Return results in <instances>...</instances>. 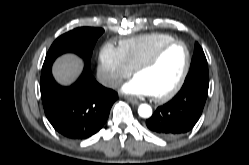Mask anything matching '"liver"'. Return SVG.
Here are the masks:
<instances>
[{"label":"liver","mask_w":249,"mask_h":165,"mask_svg":"<svg viewBox=\"0 0 249 165\" xmlns=\"http://www.w3.org/2000/svg\"><path fill=\"white\" fill-rule=\"evenodd\" d=\"M82 69L83 62L79 57L74 54H64L56 59L52 72L59 84L69 86L77 80Z\"/></svg>","instance_id":"liver-1"}]
</instances>
